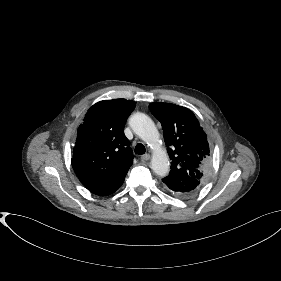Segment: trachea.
<instances>
[{"label":"trachea","mask_w":281,"mask_h":281,"mask_svg":"<svg viewBox=\"0 0 281 281\" xmlns=\"http://www.w3.org/2000/svg\"><path fill=\"white\" fill-rule=\"evenodd\" d=\"M145 146L141 143H138L136 146H135V153L138 154V155H142L145 153Z\"/></svg>","instance_id":"trachea-1"}]
</instances>
